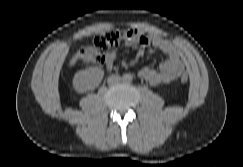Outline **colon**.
<instances>
[{"mask_svg":"<svg viewBox=\"0 0 243 167\" xmlns=\"http://www.w3.org/2000/svg\"><path fill=\"white\" fill-rule=\"evenodd\" d=\"M129 37L128 30H108L99 33L94 37L93 46L79 50L76 59L80 63L99 66L105 60V52L122 45ZM188 80L187 74H183L180 78L182 83H187Z\"/></svg>","mask_w":243,"mask_h":167,"instance_id":"5ec220e1","label":"colon"}]
</instances>
